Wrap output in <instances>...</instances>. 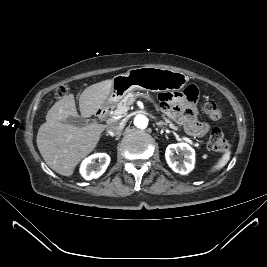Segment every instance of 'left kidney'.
<instances>
[{"label":"left kidney","instance_id":"obj_1","mask_svg":"<svg viewBox=\"0 0 267 267\" xmlns=\"http://www.w3.org/2000/svg\"><path fill=\"white\" fill-rule=\"evenodd\" d=\"M175 153H181L184 156L183 163H179ZM166 161L170 168L176 173L186 175L194 168L195 152L187 143L170 144L165 152Z\"/></svg>","mask_w":267,"mask_h":267}]
</instances>
